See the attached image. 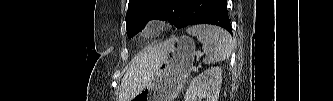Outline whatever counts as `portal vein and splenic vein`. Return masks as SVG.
Segmentation results:
<instances>
[{"mask_svg":"<svg viewBox=\"0 0 333 101\" xmlns=\"http://www.w3.org/2000/svg\"><path fill=\"white\" fill-rule=\"evenodd\" d=\"M199 55H203V53H199ZM193 71H197L198 69L195 66H192Z\"/></svg>","mask_w":333,"mask_h":101,"instance_id":"18ae733b","label":"portal vein and splenic vein"}]
</instances>
